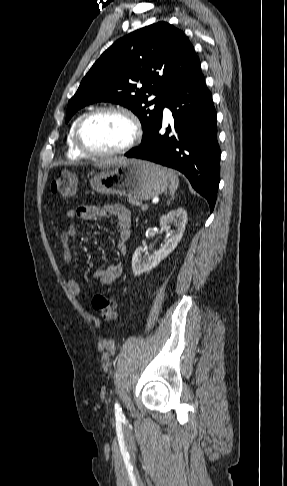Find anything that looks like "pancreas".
Here are the masks:
<instances>
[{
  "instance_id": "cf45deb5",
  "label": "pancreas",
  "mask_w": 287,
  "mask_h": 486,
  "mask_svg": "<svg viewBox=\"0 0 287 486\" xmlns=\"http://www.w3.org/2000/svg\"><path fill=\"white\" fill-rule=\"evenodd\" d=\"M128 201H129L130 204L135 205L137 207H140L142 205L141 201H138V200H135V199L128 198Z\"/></svg>"
}]
</instances>
